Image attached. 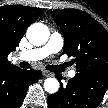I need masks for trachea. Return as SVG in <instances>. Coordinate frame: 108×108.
<instances>
[{"mask_svg": "<svg viewBox=\"0 0 108 108\" xmlns=\"http://www.w3.org/2000/svg\"><path fill=\"white\" fill-rule=\"evenodd\" d=\"M20 66L22 68H29L30 64L28 62L23 61L20 63ZM46 68L50 71L56 72V71H62L65 68V65H59V66L48 65V66H46Z\"/></svg>", "mask_w": 108, "mask_h": 108, "instance_id": "trachea-1", "label": "trachea"}]
</instances>
